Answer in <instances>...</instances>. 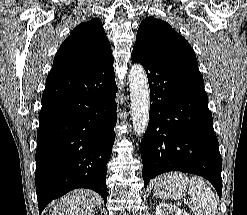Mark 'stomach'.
Listing matches in <instances>:
<instances>
[{
	"label": "stomach",
	"instance_id": "1",
	"mask_svg": "<svg viewBox=\"0 0 247 215\" xmlns=\"http://www.w3.org/2000/svg\"><path fill=\"white\" fill-rule=\"evenodd\" d=\"M188 186V179L181 174H167L155 185V195L159 198L177 199L185 194Z\"/></svg>",
	"mask_w": 247,
	"mask_h": 215
}]
</instances>
